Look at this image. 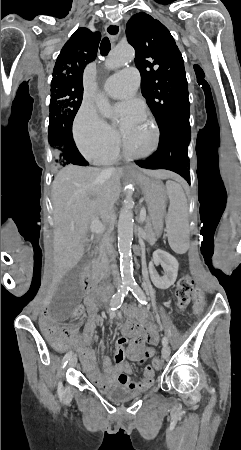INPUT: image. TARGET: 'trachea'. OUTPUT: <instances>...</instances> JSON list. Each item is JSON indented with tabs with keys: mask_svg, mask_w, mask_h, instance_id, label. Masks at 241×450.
I'll list each match as a JSON object with an SVG mask.
<instances>
[{
	"mask_svg": "<svg viewBox=\"0 0 241 450\" xmlns=\"http://www.w3.org/2000/svg\"><path fill=\"white\" fill-rule=\"evenodd\" d=\"M110 49H111L110 40H109V38L104 37V38L102 39L101 44H100V52H101V55H103V56L108 55Z\"/></svg>",
	"mask_w": 241,
	"mask_h": 450,
	"instance_id": "trachea-1",
	"label": "trachea"
}]
</instances>
